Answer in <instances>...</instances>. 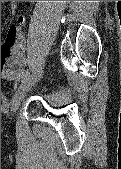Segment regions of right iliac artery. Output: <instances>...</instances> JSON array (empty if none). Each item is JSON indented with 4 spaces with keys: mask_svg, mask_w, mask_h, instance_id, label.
Here are the masks:
<instances>
[{
    "mask_svg": "<svg viewBox=\"0 0 121 169\" xmlns=\"http://www.w3.org/2000/svg\"><path fill=\"white\" fill-rule=\"evenodd\" d=\"M30 77V73L28 71L24 72L21 76V80L24 81Z\"/></svg>",
    "mask_w": 121,
    "mask_h": 169,
    "instance_id": "right-iliac-artery-1",
    "label": "right iliac artery"
}]
</instances>
